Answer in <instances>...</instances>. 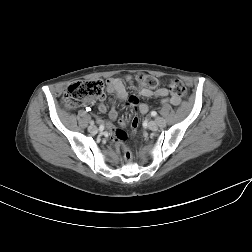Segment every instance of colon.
I'll return each mask as SVG.
<instances>
[{"mask_svg": "<svg viewBox=\"0 0 252 252\" xmlns=\"http://www.w3.org/2000/svg\"><path fill=\"white\" fill-rule=\"evenodd\" d=\"M139 85L144 88L154 89L159 85L157 78L148 74H139L136 77ZM169 91L179 97L187 96L188 91L186 86L179 80H172L168 85ZM104 95V84L100 80L81 81L71 84L63 94V103L67 108H77L83 105L86 101L95 98H102ZM125 119V118H124ZM126 124L114 131V136L118 142L124 143L127 139V134L123 127ZM138 126V118L134 117L131 121L132 132L136 131ZM124 157L127 161H131L132 155L128 148L124 149Z\"/></svg>", "mask_w": 252, "mask_h": 252, "instance_id": "colon-1", "label": "colon"}]
</instances>
